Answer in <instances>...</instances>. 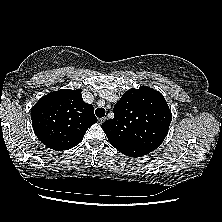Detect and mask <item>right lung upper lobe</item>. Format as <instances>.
<instances>
[{
  "instance_id": "obj_1",
  "label": "right lung upper lobe",
  "mask_w": 222,
  "mask_h": 222,
  "mask_svg": "<svg viewBox=\"0 0 222 222\" xmlns=\"http://www.w3.org/2000/svg\"><path fill=\"white\" fill-rule=\"evenodd\" d=\"M81 92L61 89L43 96L33 106V129L45 146L56 151L71 149L97 122L93 106L83 101Z\"/></svg>"
}]
</instances>
